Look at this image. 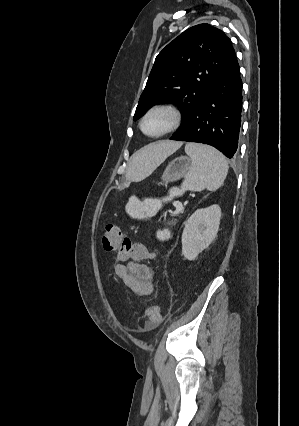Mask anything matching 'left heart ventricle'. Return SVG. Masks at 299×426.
I'll use <instances>...</instances> for the list:
<instances>
[{"instance_id":"obj_1","label":"left heart ventricle","mask_w":299,"mask_h":426,"mask_svg":"<svg viewBox=\"0 0 299 426\" xmlns=\"http://www.w3.org/2000/svg\"><path fill=\"white\" fill-rule=\"evenodd\" d=\"M172 123V117L165 111L151 114L144 122V130L148 134H158L166 130Z\"/></svg>"}]
</instances>
